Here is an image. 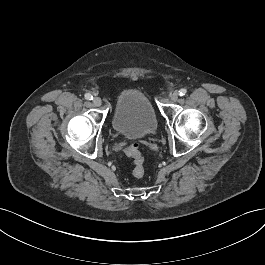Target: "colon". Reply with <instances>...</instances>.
<instances>
[{
	"label": "colon",
	"mask_w": 265,
	"mask_h": 265,
	"mask_svg": "<svg viewBox=\"0 0 265 265\" xmlns=\"http://www.w3.org/2000/svg\"><path fill=\"white\" fill-rule=\"evenodd\" d=\"M125 153L127 156H129L132 161V174L136 178H141L144 176L146 168H145V159L144 156L142 155L140 149H139V144L133 143L129 145L125 149Z\"/></svg>",
	"instance_id": "5ec220e1"
}]
</instances>
